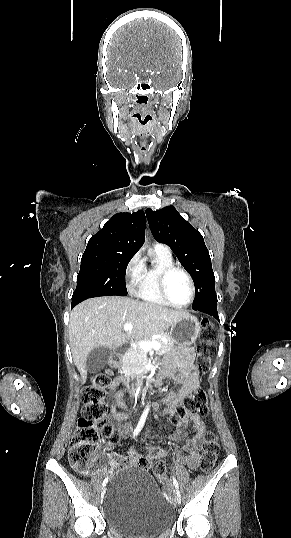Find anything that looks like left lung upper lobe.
I'll use <instances>...</instances> for the list:
<instances>
[{"instance_id":"obj_1","label":"left lung upper lobe","mask_w":291,"mask_h":538,"mask_svg":"<svg viewBox=\"0 0 291 538\" xmlns=\"http://www.w3.org/2000/svg\"><path fill=\"white\" fill-rule=\"evenodd\" d=\"M154 238L168 245L195 284L194 306L217 301L211 258L202 235L173 206L158 211L146 209Z\"/></svg>"}]
</instances>
